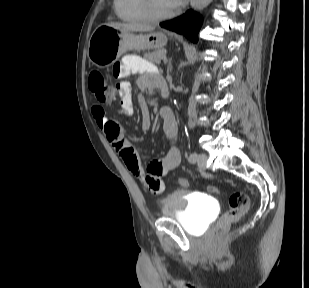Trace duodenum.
<instances>
[{"instance_id":"duodenum-1","label":"duodenum","mask_w":309,"mask_h":288,"mask_svg":"<svg viewBox=\"0 0 309 288\" xmlns=\"http://www.w3.org/2000/svg\"><path fill=\"white\" fill-rule=\"evenodd\" d=\"M161 90L163 92V95L164 96H167V89H166V84L165 82L163 81L162 84H161Z\"/></svg>"}]
</instances>
